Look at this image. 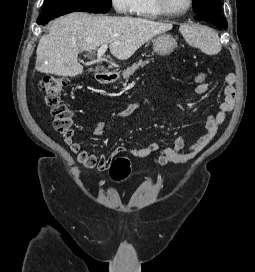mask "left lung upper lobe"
Instances as JSON below:
<instances>
[{
    "label": "left lung upper lobe",
    "instance_id": "obj_1",
    "mask_svg": "<svg viewBox=\"0 0 255 272\" xmlns=\"http://www.w3.org/2000/svg\"><path fill=\"white\" fill-rule=\"evenodd\" d=\"M194 2V12L213 10L221 13V0H192Z\"/></svg>",
    "mask_w": 255,
    "mask_h": 272
}]
</instances>
